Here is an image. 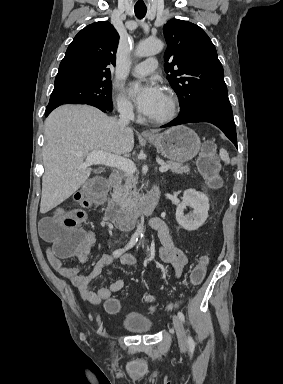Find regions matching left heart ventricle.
Instances as JSON below:
<instances>
[{
	"mask_svg": "<svg viewBox=\"0 0 283 384\" xmlns=\"http://www.w3.org/2000/svg\"><path fill=\"white\" fill-rule=\"evenodd\" d=\"M166 110H167V102H166V98H164L161 104L158 106V108L151 115H149L148 118L160 117L166 112Z\"/></svg>",
	"mask_w": 283,
	"mask_h": 384,
	"instance_id": "1",
	"label": "left heart ventricle"
}]
</instances>
